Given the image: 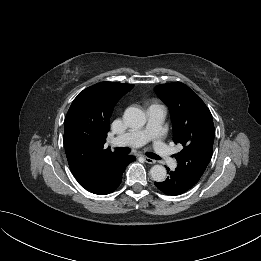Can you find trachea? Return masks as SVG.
<instances>
[{"instance_id": "trachea-1", "label": "trachea", "mask_w": 261, "mask_h": 261, "mask_svg": "<svg viewBox=\"0 0 261 261\" xmlns=\"http://www.w3.org/2000/svg\"><path fill=\"white\" fill-rule=\"evenodd\" d=\"M116 151H118L121 154H129L131 152V149L128 147H120V148H115ZM147 156L151 159H160V157L152 152H148Z\"/></svg>"}]
</instances>
